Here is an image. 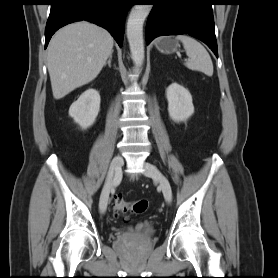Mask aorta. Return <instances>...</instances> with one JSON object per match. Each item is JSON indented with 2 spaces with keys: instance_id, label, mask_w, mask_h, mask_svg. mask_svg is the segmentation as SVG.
<instances>
[{
  "instance_id": "1",
  "label": "aorta",
  "mask_w": 278,
  "mask_h": 278,
  "mask_svg": "<svg viewBox=\"0 0 278 278\" xmlns=\"http://www.w3.org/2000/svg\"><path fill=\"white\" fill-rule=\"evenodd\" d=\"M150 10L151 5H134L127 21V39L137 67H141L144 61L143 24Z\"/></svg>"
}]
</instances>
